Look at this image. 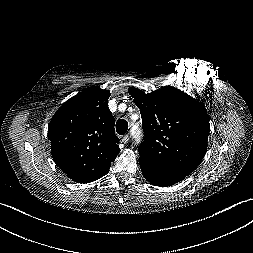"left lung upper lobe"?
<instances>
[{
	"label": "left lung upper lobe",
	"mask_w": 253,
	"mask_h": 253,
	"mask_svg": "<svg viewBox=\"0 0 253 253\" xmlns=\"http://www.w3.org/2000/svg\"><path fill=\"white\" fill-rule=\"evenodd\" d=\"M128 91L142 117L140 158L159 170L188 176L207 150L210 124L204 107L171 86L148 94L134 87Z\"/></svg>",
	"instance_id": "5c2ea615"
}]
</instances>
